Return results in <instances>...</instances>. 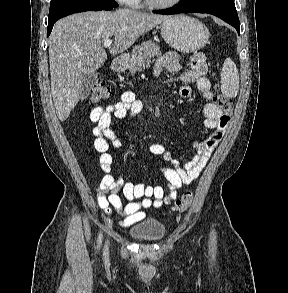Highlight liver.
Segmentation results:
<instances>
[{
    "label": "liver",
    "mask_w": 288,
    "mask_h": 293,
    "mask_svg": "<svg viewBox=\"0 0 288 293\" xmlns=\"http://www.w3.org/2000/svg\"><path fill=\"white\" fill-rule=\"evenodd\" d=\"M169 16L130 9L84 12L57 21L50 35L51 91L58 118L66 120L81 98L83 79L103 66L105 40L112 55L123 53Z\"/></svg>",
    "instance_id": "6515ba94"
}]
</instances>
